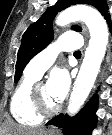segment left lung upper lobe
Segmentation results:
<instances>
[{
  "instance_id": "obj_1",
  "label": "left lung upper lobe",
  "mask_w": 112,
  "mask_h": 135,
  "mask_svg": "<svg viewBox=\"0 0 112 135\" xmlns=\"http://www.w3.org/2000/svg\"><path fill=\"white\" fill-rule=\"evenodd\" d=\"M89 4L97 8L105 19H109L106 0H58L54 6L49 7L38 21L31 24L22 36V43L17 55L16 73L14 80L17 82L26 64L40 51H42L53 39L52 21L55 15L71 5ZM75 31H81L78 26Z\"/></svg>"
}]
</instances>
